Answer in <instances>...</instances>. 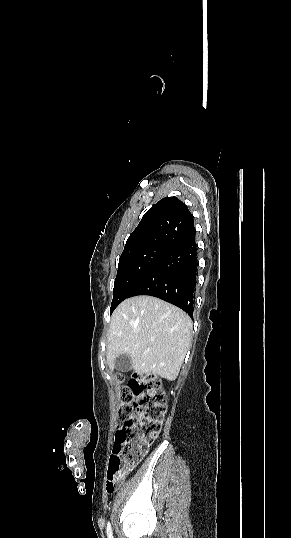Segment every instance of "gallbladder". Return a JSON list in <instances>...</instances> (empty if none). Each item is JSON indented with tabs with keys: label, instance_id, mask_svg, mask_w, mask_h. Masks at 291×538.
Here are the masks:
<instances>
[{
	"label": "gallbladder",
	"instance_id": "bac80fb5",
	"mask_svg": "<svg viewBox=\"0 0 291 538\" xmlns=\"http://www.w3.org/2000/svg\"><path fill=\"white\" fill-rule=\"evenodd\" d=\"M115 369L120 372H127L131 370V358L127 354H120L115 359Z\"/></svg>",
	"mask_w": 291,
	"mask_h": 538
}]
</instances>
